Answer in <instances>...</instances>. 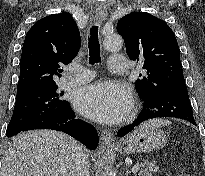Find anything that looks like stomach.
Returning <instances> with one entry per match:
<instances>
[{
    "label": "stomach",
    "instance_id": "stomach-1",
    "mask_svg": "<svg viewBox=\"0 0 205 176\" xmlns=\"http://www.w3.org/2000/svg\"><path fill=\"white\" fill-rule=\"evenodd\" d=\"M167 142V134L157 127L141 125L120 143L114 145L112 150L124 155L133 153H147L161 149Z\"/></svg>",
    "mask_w": 205,
    "mask_h": 176
}]
</instances>
